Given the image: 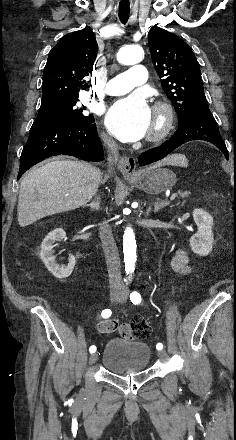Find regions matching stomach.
Instances as JSON below:
<instances>
[{
	"label": "stomach",
	"mask_w": 236,
	"mask_h": 440,
	"mask_svg": "<svg viewBox=\"0 0 236 440\" xmlns=\"http://www.w3.org/2000/svg\"><path fill=\"white\" fill-rule=\"evenodd\" d=\"M125 178L149 194H157L172 188L177 182L176 174L170 169L162 167L143 169L134 176H125Z\"/></svg>",
	"instance_id": "0dacf381"
}]
</instances>
